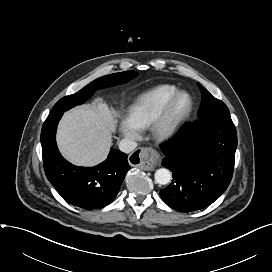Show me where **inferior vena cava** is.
<instances>
[{"mask_svg":"<svg viewBox=\"0 0 272 272\" xmlns=\"http://www.w3.org/2000/svg\"><path fill=\"white\" fill-rule=\"evenodd\" d=\"M137 147V143L130 139H122L119 142V149L124 153H130Z\"/></svg>","mask_w":272,"mask_h":272,"instance_id":"inferior-vena-cava-1","label":"inferior vena cava"}]
</instances>
